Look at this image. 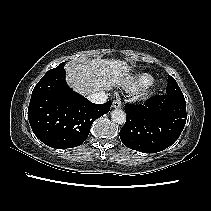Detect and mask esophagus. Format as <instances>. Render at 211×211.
<instances>
[{
	"label": "esophagus",
	"instance_id": "34e87169",
	"mask_svg": "<svg viewBox=\"0 0 211 211\" xmlns=\"http://www.w3.org/2000/svg\"><path fill=\"white\" fill-rule=\"evenodd\" d=\"M121 106H122V102L120 99H115L112 103L113 108L118 109V108H121Z\"/></svg>",
	"mask_w": 211,
	"mask_h": 211
}]
</instances>
